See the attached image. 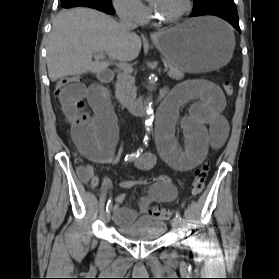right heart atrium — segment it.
<instances>
[{
	"label": "right heart atrium",
	"instance_id": "obj_1",
	"mask_svg": "<svg viewBox=\"0 0 279 279\" xmlns=\"http://www.w3.org/2000/svg\"><path fill=\"white\" fill-rule=\"evenodd\" d=\"M117 14L126 20L141 23L147 18L149 11L140 0H112Z\"/></svg>",
	"mask_w": 279,
	"mask_h": 279
}]
</instances>
